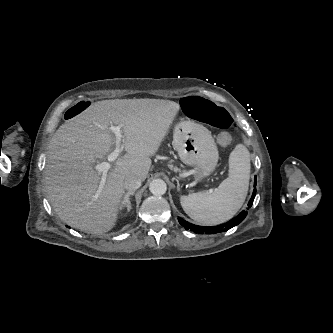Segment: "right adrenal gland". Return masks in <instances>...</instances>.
Returning a JSON list of instances; mask_svg holds the SVG:
<instances>
[{"label": "right adrenal gland", "instance_id": "2a0ac1e0", "mask_svg": "<svg viewBox=\"0 0 333 333\" xmlns=\"http://www.w3.org/2000/svg\"><path fill=\"white\" fill-rule=\"evenodd\" d=\"M134 192H128L125 194L121 204H120V210H122L124 207H127V212H130L131 210V203H130V196H132Z\"/></svg>", "mask_w": 333, "mask_h": 333}]
</instances>
